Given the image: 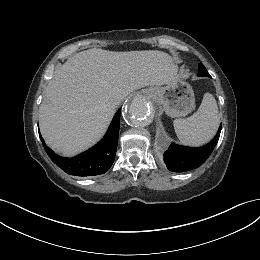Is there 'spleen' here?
Instances as JSON below:
<instances>
[{"mask_svg":"<svg viewBox=\"0 0 260 260\" xmlns=\"http://www.w3.org/2000/svg\"><path fill=\"white\" fill-rule=\"evenodd\" d=\"M173 124L177 137L185 145L201 146L210 141L220 124L214 96L205 93L201 105L192 116L175 119Z\"/></svg>","mask_w":260,"mask_h":260,"instance_id":"obj_1","label":"spleen"}]
</instances>
